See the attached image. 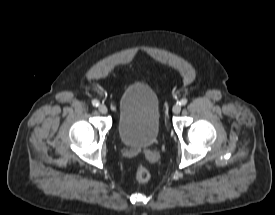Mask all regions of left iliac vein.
Instances as JSON below:
<instances>
[{
  "mask_svg": "<svg viewBox=\"0 0 275 215\" xmlns=\"http://www.w3.org/2000/svg\"><path fill=\"white\" fill-rule=\"evenodd\" d=\"M181 111V105L180 104H175L172 108V112L174 114H178Z\"/></svg>",
  "mask_w": 275,
  "mask_h": 215,
  "instance_id": "left-iliac-vein-1",
  "label": "left iliac vein"
}]
</instances>
